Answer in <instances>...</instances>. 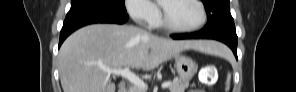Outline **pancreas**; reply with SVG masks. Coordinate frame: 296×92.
<instances>
[{"label":"pancreas","mask_w":296,"mask_h":92,"mask_svg":"<svg viewBox=\"0 0 296 92\" xmlns=\"http://www.w3.org/2000/svg\"><path fill=\"white\" fill-rule=\"evenodd\" d=\"M189 86V81H182L180 79H174L169 86L170 92H184V90ZM133 92H144L141 88H134Z\"/></svg>","instance_id":"cf45deb5"}]
</instances>
